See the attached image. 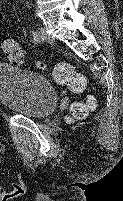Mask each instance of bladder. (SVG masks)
<instances>
[{
  "label": "bladder",
  "instance_id": "31cf9c89",
  "mask_svg": "<svg viewBox=\"0 0 123 201\" xmlns=\"http://www.w3.org/2000/svg\"><path fill=\"white\" fill-rule=\"evenodd\" d=\"M58 92L42 75L0 63V104L32 119H45L58 104Z\"/></svg>",
  "mask_w": 123,
  "mask_h": 201
}]
</instances>
